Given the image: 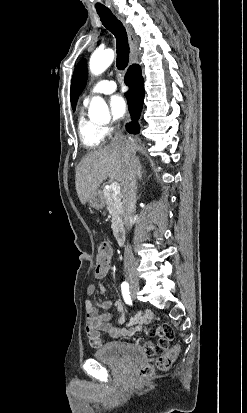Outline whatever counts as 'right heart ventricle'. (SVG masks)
Returning <instances> with one entry per match:
<instances>
[{
  "label": "right heart ventricle",
  "mask_w": 247,
  "mask_h": 413,
  "mask_svg": "<svg viewBox=\"0 0 247 413\" xmlns=\"http://www.w3.org/2000/svg\"><path fill=\"white\" fill-rule=\"evenodd\" d=\"M79 137L86 149L96 151V145L103 142L104 132L93 122L82 119L79 123Z\"/></svg>",
  "instance_id": "e07e8e85"
}]
</instances>
